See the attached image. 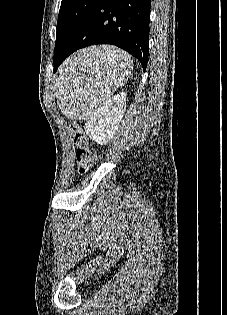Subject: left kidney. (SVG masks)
<instances>
[{"instance_id":"obj_1","label":"left kidney","mask_w":227,"mask_h":315,"mask_svg":"<svg viewBox=\"0 0 227 315\" xmlns=\"http://www.w3.org/2000/svg\"><path fill=\"white\" fill-rule=\"evenodd\" d=\"M126 93L121 92L105 101L85 123L90 139L106 145L113 137L126 108Z\"/></svg>"}]
</instances>
